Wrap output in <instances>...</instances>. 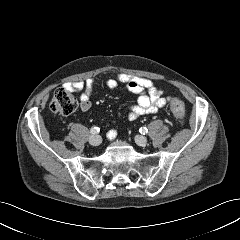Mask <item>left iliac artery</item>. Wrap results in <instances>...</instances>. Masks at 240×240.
<instances>
[{
    "label": "left iliac artery",
    "instance_id": "left-iliac-artery-1",
    "mask_svg": "<svg viewBox=\"0 0 240 240\" xmlns=\"http://www.w3.org/2000/svg\"><path fill=\"white\" fill-rule=\"evenodd\" d=\"M139 132H140L141 134H146V133H148V129H147L146 127H141V128L139 129Z\"/></svg>",
    "mask_w": 240,
    "mask_h": 240
}]
</instances>
